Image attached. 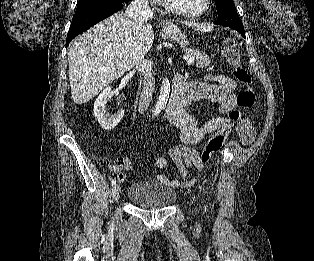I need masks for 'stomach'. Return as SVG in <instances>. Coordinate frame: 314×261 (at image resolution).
Masks as SVG:
<instances>
[{
    "mask_svg": "<svg viewBox=\"0 0 314 261\" xmlns=\"http://www.w3.org/2000/svg\"><path fill=\"white\" fill-rule=\"evenodd\" d=\"M164 37L177 41L181 44L182 47H186V45L188 44V40L184 33H182L181 30L172 23L166 24Z\"/></svg>",
    "mask_w": 314,
    "mask_h": 261,
    "instance_id": "stomach-1",
    "label": "stomach"
}]
</instances>
